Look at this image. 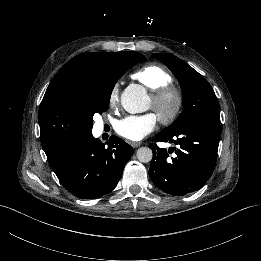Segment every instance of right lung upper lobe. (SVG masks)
<instances>
[{
	"label": "right lung upper lobe",
	"instance_id": "right-lung-upper-lobe-1",
	"mask_svg": "<svg viewBox=\"0 0 261 261\" xmlns=\"http://www.w3.org/2000/svg\"><path fill=\"white\" fill-rule=\"evenodd\" d=\"M122 52H90L68 61L50 82L39 108L41 143L54 138L57 149L89 135L92 122L85 106L89 79L101 67L115 61ZM43 147V146H42Z\"/></svg>",
	"mask_w": 261,
	"mask_h": 261
}]
</instances>
